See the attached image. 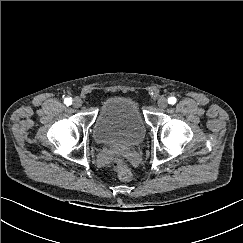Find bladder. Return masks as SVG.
Wrapping results in <instances>:
<instances>
[{"label":"bladder","instance_id":"bladder-1","mask_svg":"<svg viewBox=\"0 0 243 243\" xmlns=\"http://www.w3.org/2000/svg\"><path fill=\"white\" fill-rule=\"evenodd\" d=\"M145 132L139 107L129 97L114 96L106 99L93 124V137L98 144L116 145L124 150L138 146Z\"/></svg>","mask_w":243,"mask_h":243}]
</instances>
